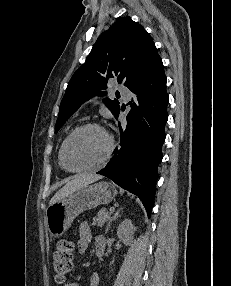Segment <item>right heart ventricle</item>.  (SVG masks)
I'll list each match as a JSON object with an SVG mask.
<instances>
[{
	"mask_svg": "<svg viewBox=\"0 0 231 286\" xmlns=\"http://www.w3.org/2000/svg\"><path fill=\"white\" fill-rule=\"evenodd\" d=\"M60 152H61V148H60V150H59V155H58L59 164H60Z\"/></svg>",
	"mask_w": 231,
	"mask_h": 286,
	"instance_id": "right-heart-ventricle-1",
	"label": "right heart ventricle"
}]
</instances>
